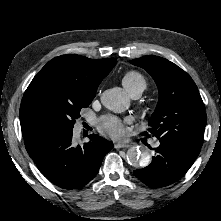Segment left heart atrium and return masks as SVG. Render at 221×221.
Listing matches in <instances>:
<instances>
[{
  "instance_id": "left-heart-atrium-1",
  "label": "left heart atrium",
  "mask_w": 221,
  "mask_h": 221,
  "mask_svg": "<svg viewBox=\"0 0 221 221\" xmlns=\"http://www.w3.org/2000/svg\"><path fill=\"white\" fill-rule=\"evenodd\" d=\"M99 127L101 131L115 139H120L126 134L124 123L120 119L113 116L103 117L100 120Z\"/></svg>"
}]
</instances>
